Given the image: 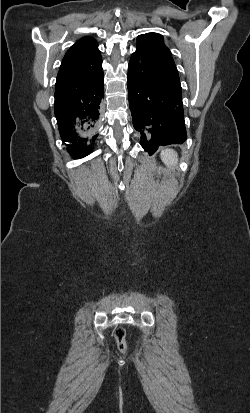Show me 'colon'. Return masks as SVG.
I'll use <instances>...</instances> for the list:
<instances>
[{"label": "colon", "instance_id": "5ec220e1", "mask_svg": "<svg viewBox=\"0 0 250 413\" xmlns=\"http://www.w3.org/2000/svg\"><path fill=\"white\" fill-rule=\"evenodd\" d=\"M113 336L117 342L118 348L121 352L126 351V332L122 326H117L113 331Z\"/></svg>", "mask_w": 250, "mask_h": 413}]
</instances>
